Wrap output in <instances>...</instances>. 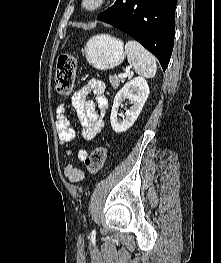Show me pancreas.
Segmentation results:
<instances>
[{
  "instance_id": "pancreas-1",
  "label": "pancreas",
  "mask_w": 221,
  "mask_h": 263,
  "mask_svg": "<svg viewBox=\"0 0 221 263\" xmlns=\"http://www.w3.org/2000/svg\"><path fill=\"white\" fill-rule=\"evenodd\" d=\"M109 79H110V83H111L112 87L115 89L118 88V86L120 84V79L116 75L110 76Z\"/></svg>"
}]
</instances>
